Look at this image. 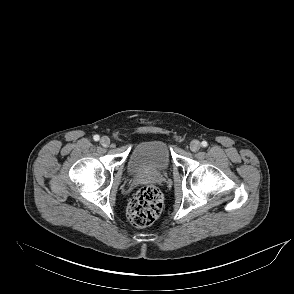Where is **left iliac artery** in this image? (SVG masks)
<instances>
[{
  "instance_id": "1",
  "label": "left iliac artery",
  "mask_w": 294,
  "mask_h": 294,
  "mask_svg": "<svg viewBox=\"0 0 294 294\" xmlns=\"http://www.w3.org/2000/svg\"><path fill=\"white\" fill-rule=\"evenodd\" d=\"M201 145H202L203 147H206V146L208 145V143H207L206 141H202Z\"/></svg>"
}]
</instances>
